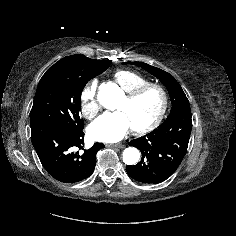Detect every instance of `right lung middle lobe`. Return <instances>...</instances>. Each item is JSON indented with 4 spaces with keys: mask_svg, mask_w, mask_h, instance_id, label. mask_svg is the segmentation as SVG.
I'll return each instance as SVG.
<instances>
[{
    "mask_svg": "<svg viewBox=\"0 0 236 236\" xmlns=\"http://www.w3.org/2000/svg\"><path fill=\"white\" fill-rule=\"evenodd\" d=\"M111 61L104 60L87 72L47 70L41 78L30 112L31 123L46 122L71 131L83 129L80 96L87 82L104 72Z\"/></svg>",
    "mask_w": 236,
    "mask_h": 236,
    "instance_id": "right-lung-middle-lobe-1",
    "label": "right lung middle lobe"
}]
</instances>
